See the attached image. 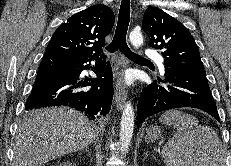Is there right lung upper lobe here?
<instances>
[{"instance_id":"obj_1","label":"right lung upper lobe","mask_w":231,"mask_h":166,"mask_svg":"<svg viewBox=\"0 0 231 166\" xmlns=\"http://www.w3.org/2000/svg\"><path fill=\"white\" fill-rule=\"evenodd\" d=\"M114 13L105 5H94L74 14L54 32L45 54L66 57H99L105 37L114 24Z\"/></svg>"}]
</instances>
